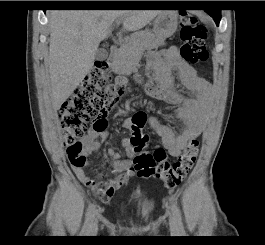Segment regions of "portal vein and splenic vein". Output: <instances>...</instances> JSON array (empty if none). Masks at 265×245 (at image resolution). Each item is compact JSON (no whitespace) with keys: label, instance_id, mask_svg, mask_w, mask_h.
Listing matches in <instances>:
<instances>
[{"label":"portal vein and splenic vein","instance_id":"obj_1","mask_svg":"<svg viewBox=\"0 0 265 245\" xmlns=\"http://www.w3.org/2000/svg\"><path fill=\"white\" fill-rule=\"evenodd\" d=\"M115 23H116V26H119L122 23V19H117Z\"/></svg>","mask_w":265,"mask_h":245}]
</instances>
